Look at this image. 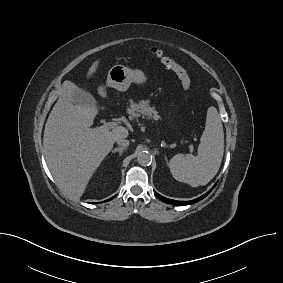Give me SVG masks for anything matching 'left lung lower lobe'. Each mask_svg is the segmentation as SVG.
I'll list each match as a JSON object with an SVG mask.
<instances>
[{"mask_svg":"<svg viewBox=\"0 0 283 283\" xmlns=\"http://www.w3.org/2000/svg\"><path fill=\"white\" fill-rule=\"evenodd\" d=\"M213 188L209 192H207L206 194L202 195L201 197L196 198V199L191 200V201H176V200H171V199L165 198V197L157 194L156 192H155V194L165 203L184 206V205L194 204V203L200 201L201 199L205 198L213 190Z\"/></svg>","mask_w":283,"mask_h":283,"instance_id":"0a47b994","label":"left lung lower lobe"}]
</instances>
